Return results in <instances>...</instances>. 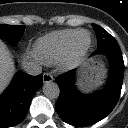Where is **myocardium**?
I'll return each mask as SVG.
<instances>
[{
    "mask_svg": "<svg viewBox=\"0 0 128 128\" xmlns=\"http://www.w3.org/2000/svg\"><path fill=\"white\" fill-rule=\"evenodd\" d=\"M81 35L86 36V42L80 43L79 39ZM91 46L90 33L85 30H80L74 36L72 43L61 59L60 66L63 70H68L73 68L87 53Z\"/></svg>",
    "mask_w": 128,
    "mask_h": 128,
    "instance_id": "f54148a6",
    "label": "myocardium"
}]
</instances>
